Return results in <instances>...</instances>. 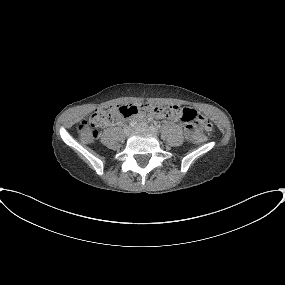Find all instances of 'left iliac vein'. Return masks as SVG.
<instances>
[{"label":"left iliac vein","instance_id":"4c4485c4","mask_svg":"<svg viewBox=\"0 0 285 285\" xmlns=\"http://www.w3.org/2000/svg\"><path fill=\"white\" fill-rule=\"evenodd\" d=\"M134 130L136 131L148 130V126L146 124L137 125L134 127Z\"/></svg>","mask_w":285,"mask_h":285}]
</instances>
